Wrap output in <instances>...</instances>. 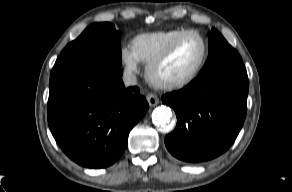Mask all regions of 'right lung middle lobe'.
Listing matches in <instances>:
<instances>
[{
	"instance_id": "right-lung-middle-lobe-1",
	"label": "right lung middle lobe",
	"mask_w": 292,
	"mask_h": 192,
	"mask_svg": "<svg viewBox=\"0 0 292 192\" xmlns=\"http://www.w3.org/2000/svg\"><path fill=\"white\" fill-rule=\"evenodd\" d=\"M64 56H102L121 65L120 32L112 23H94L62 50Z\"/></svg>"
}]
</instances>
